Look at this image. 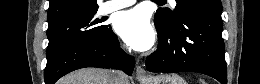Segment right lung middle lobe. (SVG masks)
Wrapping results in <instances>:
<instances>
[{
    "label": "right lung middle lobe",
    "mask_w": 260,
    "mask_h": 84,
    "mask_svg": "<svg viewBox=\"0 0 260 84\" xmlns=\"http://www.w3.org/2000/svg\"><path fill=\"white\" fill-rule=\"evenodd\" d=\"M96 12L85 14L58 26L48 28L47 65L55 61L68 48L88 42L104 43L112 31L110 25H101Z\"/></svg>",
    "instance_id": "1"
}]
</instances>
